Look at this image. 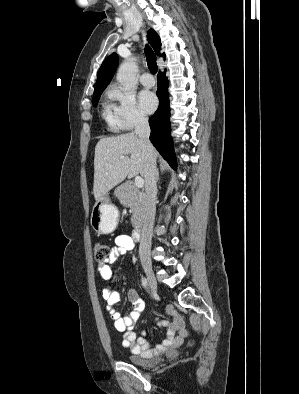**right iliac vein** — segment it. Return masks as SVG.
<instances>
[{"mask_svg":"<svg viewBox=\"0 0 299 394\" xmlns=\"http://www.w3.org/2000/svg\"><path fill=\"white\" fill-rule=\"evenodd\" d=\"M143 269H144V272L147 276V280H148V283H149L152 291L156 292L157 281H156V277H155V274L152 269V265L151 264H144Z\"/></svg>","mask_w":299,"mask_h":394,"instance_id":"obj_1","label":"right iliac vein"}]
</instances>
